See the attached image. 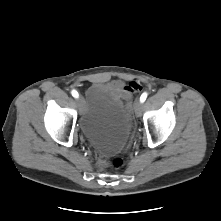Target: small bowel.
<instances>
[{
	"instance_id": "small-bowel-1",
	"label": "small bowel",
	"mask_w": 221,
	"mask_h": 221,
	"mask_svg": "<svg viewBox=\"0 0 221 221\" xmlns=\"http://www.w3.org/2000/svg\"><path fill=\"white\" fill-rule=\"evenodd\" d=\"M109 87L115 91L120 97L127 98V94L124 90V83L119 80H113L109 83Z\"/></svg>"
}]
</instances>
